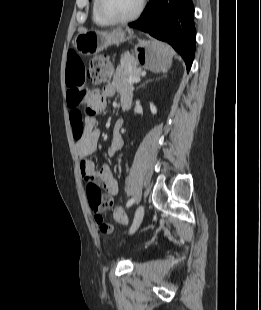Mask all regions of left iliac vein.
Instances as JSON below:
<instances>
[{
    "label": "left iliac vein",
    "instance_id": "4c4485c4",
    "mask_svg": "<svg viewBox=\"0 0 261 310\" xmlns=\"http://www.w3.org/2000/svg\"><path fill=\"white\" fill-rule=\"evenodd\" d=\"M144 212H145L144 206L140 205L135 212L133 223L130 227L131 234L134 233L139 228L144 217Z\"/></svg>",
    "mask_w": 261,
    "mask_h": 310
}]
</instances>
